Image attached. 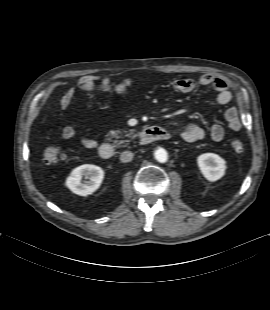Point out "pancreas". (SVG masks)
Instances as JSON below:
<instances>
[{
	"instance_id": "cf45deb5",
	"label": "pancreas",
	"mask_w": 270,
	"mask_h": 310,
	"mask_svg": "<svg viewBox=\"0 0 270 310\" xmlns=\"http://www.w3.org/2000/svg\"><path fill=\"white\" fill-rule=\"evenodd\" d=\"M123 132H124V133H127L128 131H123ZM133 132H134V130H130V132L127 133L125 136H130V135L133 134ZM120 133H122V132H121L120 130H117V131H114V132H112V133L106 135V137H107L108 140H111L112 138H119L120 136H119L118 134H120ZM127 142H129V141H127V140H122V141H120L117 145H118V146H121L122 144L127 143Z\"/></svg>"
}]
</instances>
